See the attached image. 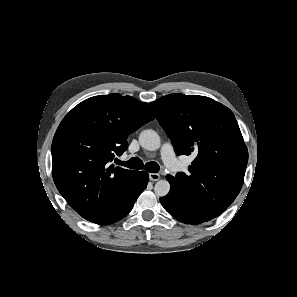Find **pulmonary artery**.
<instances>
[{"mask_svg":"<svg viewBox=\"0 0 297 297\" xmlns=\"http://www.w3.org/2000/svg\"><path fill=\"white\" fill-rule=\"evenodd\" d=\"M161 157L166 167L174 170L177 165V159L175 157L174 148L171 143H165L161 149Z\"/></svg>","mask_w":297,"mask_h":297,"instance_id":"e3ab8cb5","label":"pulmonary artery"}]
</instances>
